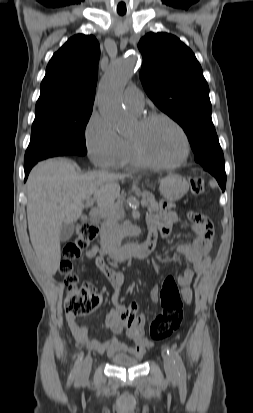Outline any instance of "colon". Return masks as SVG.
Wrapping results in <instances>:
<instances>
[{
    "mask_svg": "<svg viewBox=\"0 0 253 413\" xmlns=\"http://www.w3.org/2000/svg\"><path fill=\"white\" fill-rule=\"evenodd\" d=\"M205 191V182L202 178L191 180V192L200 195ZM97 227L91 223H83L77 229L76 238L67 243L63 249V260L60 272L64 275L67 287L65 297V311L74 317L91 314L100 304L101 297L92 285L81 283L74 271L73 262L77 260L82 251L96 238ZM162 312L150 325V337L160 340L169 337L176 331L183 319V301L177 283L172 276L165 278L160 291Z\"/></svg>",
    "mask_w": 253,
    "mask_h": 413,
    "instance_id": "obj_1",
    "label": "colon"
}]
</instances>
